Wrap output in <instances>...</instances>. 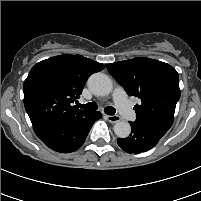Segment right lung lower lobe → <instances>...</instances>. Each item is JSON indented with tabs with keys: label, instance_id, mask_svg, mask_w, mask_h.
Masks as SVG:
<instances>
[{
	"label": "right lung lower lobe",
	"instance_id": "right-lung-lower-lobe-1",
	"mask_svg": "<svg viewBox=\"0 0 201 201\" xmlns=\"http://www.w3.org/2000/svg\"><path fill=\"white\" fill-rule=\"evenodd\" d=\"M102 117L100 112H90L71 124H46L34 126L36 135L54 151L70 153L80 148L93 123Z\"/></svg>",
	"mask_w": 201,
	"mask_h": 201
}]
</instances>
